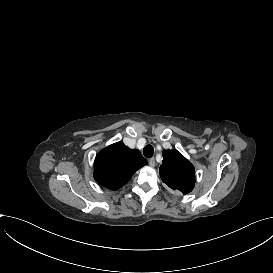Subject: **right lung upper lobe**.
<instances>
[{
    "instance_id": "1",
    "label": "right lung upper lobe",
    "mask_w": 273,
    "mask_h": 273,
    "mask_svg": "<svg viewBox=\"0 0 273 273\" xmlns=\"http://www.w3.org/2000/svg\"><path fill=\"white\" fill-rule=\"evenodd\" d=\"M147 164L138 150H131L121 142L101 150L94 161V178L102 186L117 190L134 173Z\"/></svg>"
}]
</instances>
